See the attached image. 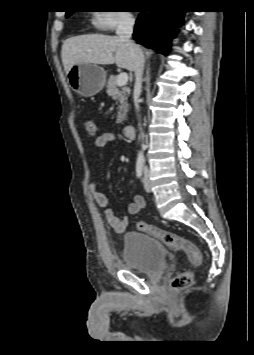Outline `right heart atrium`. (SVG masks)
Wrapping results in <instances>:
<instances>
[{"mask_svg": "<svg viewBox=\"0 0 254 355\" xmlns=\"http://www.w3.org/2000/svg\"><path fill=\"white\" fill-rule=\"evenodd\" d=\"M134 23V18L128 11H107L102 10L93 18L94 26L106 32H112L120 27H129Z\"/></svg>", "mask_w": 254, "mask_h": 355, "instance_id": "right-heart-atrium-1", "label": "right heart atrium"}]
</instances>
